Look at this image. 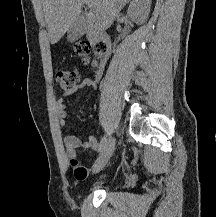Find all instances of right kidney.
<instances>
[{"label":"right kidney","instance_id":"right-kidney-1","mask_svg":"<svg viewBox=\"0 0 216 217\" xmlns=\"http://www.w3.org/2000/svg\"><path fill=\"white\" fill-rule=\"evenodd\" d=\"M151 0H133L127 10L129 18L137 24H143L149 15Z\"/></svg>","mask_w":216,"mask_h":217}]
</instances>
